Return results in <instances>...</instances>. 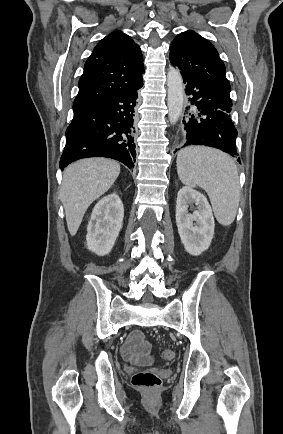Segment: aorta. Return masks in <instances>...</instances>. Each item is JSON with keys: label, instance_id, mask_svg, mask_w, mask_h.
Wrapping results in <instances>:
<instances>
[{"label": "aorta", "instance_id": "1", "mask_svg": "<svg viewBox=\"0 0 283 434\" xmlns=\"http://www.w3.org/2000/svg\"><path fill=\"white\" fill-rule=\"evenodd\" d=\"M168 117L175 124L182 113L184 103L183 79L178 69L170 67L167 73Z\"/></svg>", "mask_w": 283, "mask_h": 434}]
</instances>
